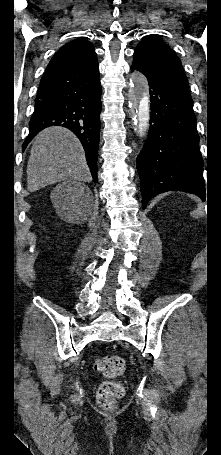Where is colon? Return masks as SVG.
I'll list each match as a JSON object with an SVG mask.
<instances>
[{"instance_id": "5ec220e1", "label": "colon", "mask_w": 221, "mask_h": 455, "mask_svg": "<svg viewBox=\"0 0 221 455\" xmlns=\"http://www.w3.org/2000/svg\"><path fill=\"white\" fill-rule=\"evenodd\" d=\"M94 369L109 379L103 382L98 389V403L105 409L112 408L124 395L123 385L115 379L124 372L125 362L118 355H108L97 358L94 362Z\"/></svg>"}]
</instances>
